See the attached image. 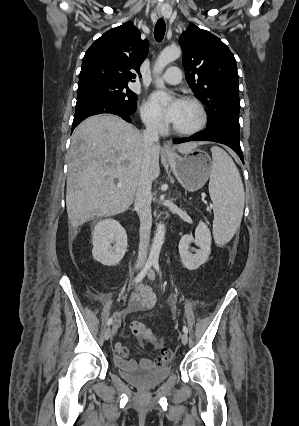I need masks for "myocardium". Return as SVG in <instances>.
Instances as JSON below:
<instances>
[{
    "label": "myocardium",
    "instance_id": "obj_1",
    "mask_svg": "<svg viewBox=\"0 0 299 426\" xmlns=\"http://www.w3.org/2000/svg\"><path fill=\"white\" fill-rule=\"evenodd\" d=\"M183 102L190 103L196 107L199 114L198 122L196 125L188 129H180L176 127L175 125H173V131L176 134L184 135V136L194 135L202 131L206 127L208 123V114L204 105L201 103V101L195 97H191V96L185 97L183 99Z\"/></svg>",
    "mask_w": 299,
    "mask_h": 426
}]
</instances>
